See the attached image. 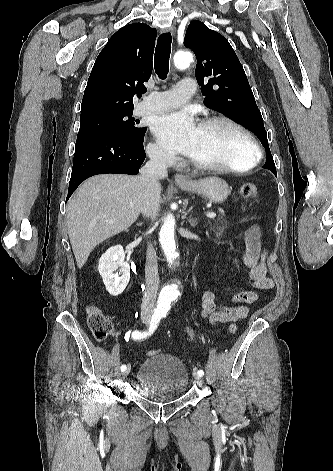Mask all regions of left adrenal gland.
Wrapping results in <instances>:
<instances>
[{"label":"left adrenal gland","instance_id":"obj_1","mask_svg":"<svg viewBox=\"0 0 333 471\" xmlns=\"http://www.w3.org/2000/svg\"><path fill=\"white\" fill-rule=\"evenodd\" d=\"M191 211H192V207L189 209L188 212L191 213ZM188 222L190 223L192 227H195L197 225V218H191V215H190L188 218Z\"/></svg>","mask_w":333,"mask_h":471}]
</instances>
